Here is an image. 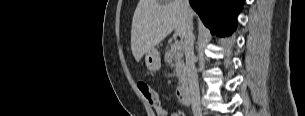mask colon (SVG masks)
Wrapping results in <instances>:
<instances>
[{
	"mask_svg": "<svg viewBox=\"0 0 305 116\" xmlns=\"http://www.w3.org/2000/svg\"><path fill=\"white\" fill-rule=\"evenodd\" d=\"M143 99L154 112V116H167V110L162 104L158 93L144 80L137 83Z\"/></svg>",
	"mask_w": 305,
	"mask_h": 116,
	"instance_id": "1",
	"label": "colon"
}]
</instances>
